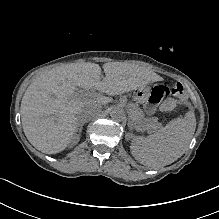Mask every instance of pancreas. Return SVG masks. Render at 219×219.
<instances>
[{"label":"pancreas","mask_w":219,"mask_h":219,"mask_svg":"<svg viewBox=\"0 0 219 219\" xmlns=\"http://www.w3.org/2000/svg\"><path fill=\"white\" fill-rule=\"evenodd\" d=\"M133 119L136 124L142 125L144 130L147 131H156L160 127V124L156 122L154 119H144L143 113L141 109L133 110Z\"/></svg>","instance_id":"obj_1"}]
</instances>
